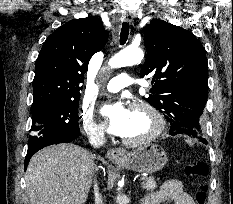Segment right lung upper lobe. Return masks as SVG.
Returning <instances> with one entry per match:
<instances>
[{
  "label": "right lung upper lobe",
  "mask_w": 233,
  "mask_h": 204,
  "mask_svg": "<svg viewBox=\"0 0 233 204\" xmlns=\"http://www.w3.org/2000/svg\"><path fill=\"white\" fill-rule=\"evenodd\" d=\"M108 39L100 19H75L44 42L36 60L32 106L80 98L87 63Z\"/></svg>",
  "instance_id": "obj_1"
}]
</instances>
